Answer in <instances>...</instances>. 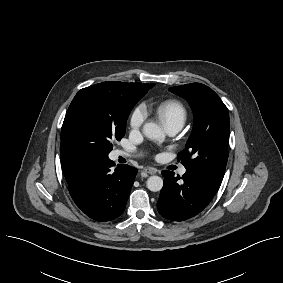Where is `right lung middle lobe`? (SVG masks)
I'll list each match as a JSON object with an SVG mask.
<instances>
[{"label":"right lung middle lobe","instance_id":"right-lung-middle-lobe-1","mask_svg":"<svg viewBox=\"0 0 283 283\" xmlns=\"http://www.w3.org/2000/svg\"><path fill=\"white\" fill-rule=\"evenodd\" d=\"M153 86L139 90L129 83L103 82L81 89L66 113L61 142L86 160L108 157L112 141L125 134L132 108Z\"/></svg>","mask_w":283,"mask_h":283}]
</instances>
